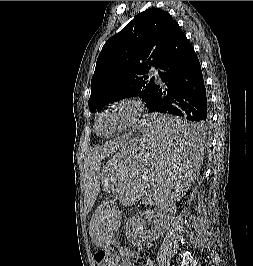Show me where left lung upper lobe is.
Listing matches in <instances>:
<instances>
[{"label": "left lung upper lobe", "instance_id": "left-lung-upper-lobe-1", "mask_svg": "<svg viewBox=\"0 0 253 266\" xmlns=\"http://www.w3.org/2000/svg\"><path fill=\"white\" fill-rule=\"evenodd\" d=\"M177 22L159 8H150L137 15L103 46L91 80L88 101L91 112L100 111L109 103L124 97H141L149 107L154 98V77L151 67L158 61Z\"/></svg>", "mask_w": 253, "mask_h": 266}]
</instances>
